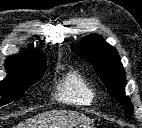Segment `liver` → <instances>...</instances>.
Instances as JSON below:
<instances>
[{
    "label": "liver",
    "instance_id": "1",
    "mask_svg": "<svg viewBox=\"0 0 142 128\" xmlns=\"http://www.w3.org/2000/svg\"><path fill=\"white\" fill-rule=\"evenodd\" d=\"M89 118L75 111L53 110L20 123L16 128H73Z\"/></svg>",
    "mask_w": 142,
    "mask_h": 128
}]
</instances>
